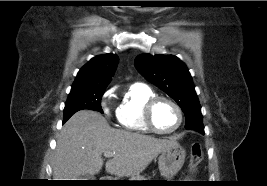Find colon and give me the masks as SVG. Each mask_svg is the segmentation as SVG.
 <instances>
[{
    "label": "colon",
    "mask_w": 267,
    "mask_h": 186,
    "mask_svg": "<svg viewBox=\"0 0 267 186\" xmlns=\"http://www.w3.org/2000/svg\"><path fill=\"white\" fill-rule=\"evenodd\" d=\"M203 159V150L200 143H193L190 149V157H189V177H193L198 165L201 163Z\"/></svg>",
    "instance_id": "obj_1"
}]
</instances>
